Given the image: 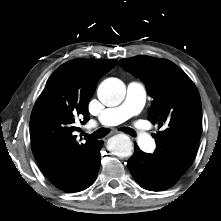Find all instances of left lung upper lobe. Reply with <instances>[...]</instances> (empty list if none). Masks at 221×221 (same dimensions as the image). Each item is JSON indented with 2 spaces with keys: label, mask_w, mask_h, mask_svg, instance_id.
<instances>
[{
  "label": "left lung upper lobe",
  "mask_w": 221,
  "mask_h": 221,
  "mask_svg": "<svg viewBox=\"0 0 221 221\" xmlns=\"http://www.w3.org/2000/svg\"><path fill=\"white\" fill-rule=\"evenodd\" d=\"M123 69L146 83L153 98L148 118L163 131L154 136L157 167L175 184L194 159L202 132V108L191 79L169 60L136 56L120 60Z\"/></svg>",
  "instance_id": "5c2ea615"
}]
</instances>
